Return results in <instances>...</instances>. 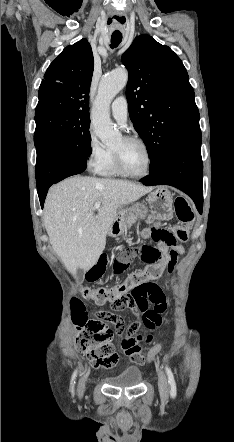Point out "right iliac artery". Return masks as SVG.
Wrapping results in <instances>:
<instances>
[{
  "label": "right iliac artery",
  "instance_id": "1",
  "mask_svg": "<svg viewBox=\"0 0 234 442\" xmlns=\"http://www.w3.org/2000/svg\"><path fill=\"white\" fill-rule=\"evenodd\" d=\"M76 373H77V371H75L74 373H73V375H72V378H71V391L73 392V387H74V383H75V377H76Z\"/></svg>",
  "mask_w": 234,
  "mask_h": 442
}]
</instances>
